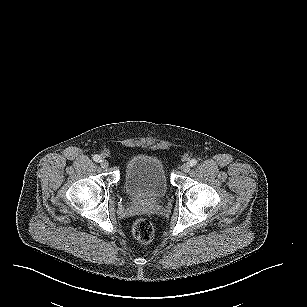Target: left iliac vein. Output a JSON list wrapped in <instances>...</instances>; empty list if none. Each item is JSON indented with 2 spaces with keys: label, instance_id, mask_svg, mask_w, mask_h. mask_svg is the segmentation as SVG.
<instances>
[{
  "label": "left iliac vein",
  "instance_id": "obj_1",
  "mask_svg": "<svg viewBox=\"0 0 307 307\" xmlns=\"http://www.w3.org/2000/svg\"><path fill=\"white\" fill-rule=\"evenodd\" d=\"M180 169L182 172L186 173L190 170V165L188 163H184L181 165Z\"/></svg>",
  "mask_w": 307,
  "mask_h": 307
}]
</instances>
